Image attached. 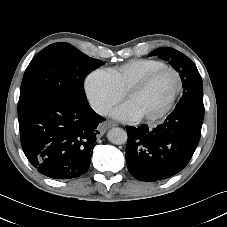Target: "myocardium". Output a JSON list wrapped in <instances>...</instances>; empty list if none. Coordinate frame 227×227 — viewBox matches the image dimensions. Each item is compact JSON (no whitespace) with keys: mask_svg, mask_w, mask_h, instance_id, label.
Here are the masks:
<instances>
[{"mask_svg":"<svg viewBox=\"0 0 227 227\" xmlns=\"http://www.w3.org/2000/svg\"><path fill=\"white\" fill-rule=\"evenodd\" d=\"M165 71H171L176 75L177 78V88L173 94V96L171 97V99L169 100V102L166 104V106L164 107V109L159 112L158 114L152 116V117H139L137 118L135 121L138 122H148V123H154L157 122L158 120L162 119L163 117H165L170 110L172 109L173 105L175 104L178 96L181 94L182 90H183V77L181 75V73L179 72V70H177L176 68L172 67V66H168L165 65L155 71H152L151 73L147 74L145 77H143L141 80H139L137 83H135L133 86H131L129 89H127L124 94H123V101L125 103V101L132 95L140 92L141 90H143L148 84H150V82H152L159 74H161L162 72Z\"/></svg>","mask_w":227,"mask_h":227,"instance_id":"1","label":"myocardium"}]
</instances>
